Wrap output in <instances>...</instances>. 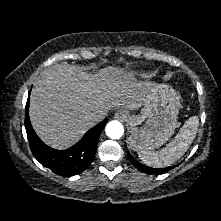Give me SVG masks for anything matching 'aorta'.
I'll use <instances>...</instances> for the list:
<instances>
[{
  "mask_svg": "<svg viewBox=\"0 0 221 221\" xmlns=\"http://www.w3.org/2000/svg\"><path fill=\"white\" fill-rule=\"evenodd\" d=\"M106 134L108 137L112 139H119L124 134V128L123 125L119 121H110L106 125Z\"/></svg>",
  "mask_w": 221,
  "mask_h": 221,
  "instance_id": "762f6f07",
  "label": "aorta"
}]
</instances>
